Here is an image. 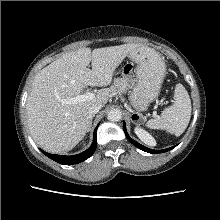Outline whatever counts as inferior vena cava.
Listing matches in <instances>:
<instances>
[{
	"mask_svg": "<svg viewBox=\"0 0 220 220\" xmlns=\"http://www.w3.org/2000/svg\"><path fill=\"white\" fill-rule=\"evenodd\" d=\"M102 105L101 104H95L93 106H91L88 110V113L90 116L95 115L96 113L99 112V110L101 109Z\"/></svg>",
	"mask_w": 220,
	"mask_h": 220,
	"instance_id": "inferior-vena-cava-1",
	"label": "inferior vena cava"
}]
</instances>
